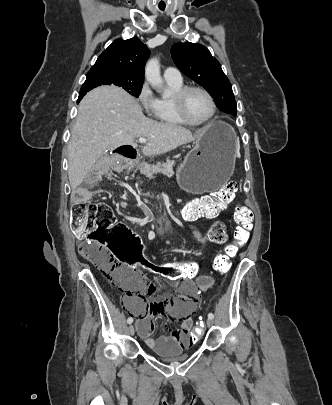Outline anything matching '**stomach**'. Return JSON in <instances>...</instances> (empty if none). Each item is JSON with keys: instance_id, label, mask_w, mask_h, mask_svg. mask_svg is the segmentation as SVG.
I'll use <instances>...</instances> for the list:
<instances>
[{"instance_id": "obj_1", "label": "stomach", "mask_w": 332, "mask_h": 405, "mask_svg": "<svg viewBox=\"0 0 332 405\" xmlns=\"http://www.w3.org/2000/svg\"><path fill=\"white\" fill-rule=\"evenodd\" d=\"M237 137L223 121L208 123L194 148L178 166L176 178L180 186L194 194L216 191L230 179L235 168Z\"/></svg>"}]
</instances>
